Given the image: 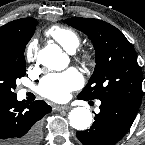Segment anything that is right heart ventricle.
Wrapping results in <instances>:
<instances>
[{
    "instance_id": "e07e8e85",
    "label": "right heart ventricle",
    "mask_w": 145,
    "mask_h": 145,
    "mask_svg": "<svg viewBox=\"0 0 145 145\" xmlns=\"http://www.w3.org/2000/svg\"><path fill=\"white\" fill-rule=\"evenodd\" d=\"M46 33L68 52H74L81 42L79 34L68 27L54 26L49 28Z\"/></svg>"
}]
</instances>
